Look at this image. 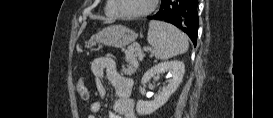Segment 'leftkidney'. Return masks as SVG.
<instances>
[{
  "label": "left kidney",
  "mask_w": 273,
  "mask_h": 118,
  "mask_svg": "<svg viewBox=\"0 0 273 118\" xmlns=\"http://www.w3.org/2000/svg\"><path fill=\"white\" fill-rule=\"evenodd\" d=\"M168 72V85L164 86L162 92L153 101L139 100L136 105V111L139 115H148L155 112L163 106L169 97L177 90L182 82L185 65L183 62L174 60L170 62H162L149 69L142 77L141 83L145 84L155 75Z\"/></svg>",
  "instance_id": "5707ae66"
}]
</instances>
